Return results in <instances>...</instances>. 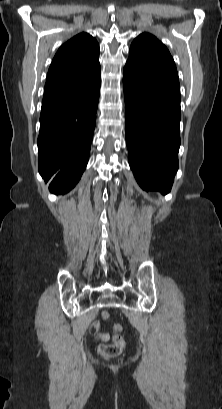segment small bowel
<instances>
[{
    "mask_svg": "<svg viewBox=\"0 0 222 409\" xmlns=\"http://www.w3.org/2000/svg\"><path fill=\"white\" fill-rule=\"evenodd\" d=\"M101 324L98 321L92 323V330L95 332L96 339L99 341H108L110 336L108 333H104L101 331Z\"/></svg>",
    "mask_w": 222,
    "mask_h": 409,
    "instance_id": "c3829d8e",
    "label": "small bowel"
}]
</instances>
